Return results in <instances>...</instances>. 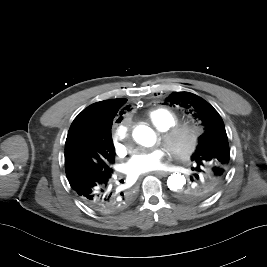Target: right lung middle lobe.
<instances>
[{
    "label": "right lung middle lobe",
    "instance_id": "right-lung-middle-lobe-1",
    "mask_svg": "<svg viewBox=\"0 0 267 267\" xmlns=\"http://www.w3.org/2000/svg\"><path fill=\"white\" fill-rule=\"evenodd\" d=\"M115 162L111 132L102 141L84 127L68 132L65 143V171L70 180L83 173H106Z\"/></svg>",
    "mask_w": 267,
    "mask_h": 267
}]
</instances>
